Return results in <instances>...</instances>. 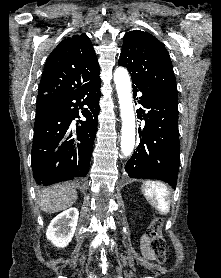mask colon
Masks as SVG:
<instances>
[{
    "label": "colon",
    "mask_w": 221,
    "mask_h": 278,
    "mask_svg": "<svg viewBox=\"0 0 221 278\" xmlns=\"http://www.w3.org/2000/svg\"><path fill=\"white\" fill-rule=\"evenodd\" d=\"M162 220L155 218L147 230L149 250L160 263L166 262V243L162 236Z\"/></svg>",
    "instance_id": "1"
}]
</instances>
